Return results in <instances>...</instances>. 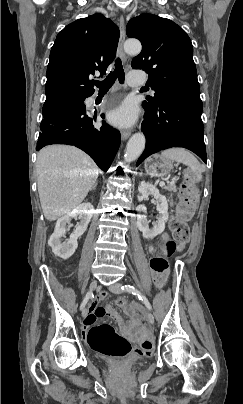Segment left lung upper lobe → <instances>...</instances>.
<instances>
[{
	"mask_svg": "<svg viewBox=\"0 0 243 404\" xmlns=\"http://www.w3.org/2000/svg\"><path fill=\"white\" fill-rule=\"evenodd\" d=\"M127 36L142 43V51L132 60V68L149 74L148 85L155 91L142 106L145 114L172 98L200 99L193 46L185 31L173 21L152 14L132 18Z\"/></svg>",
	"mask_w": 243,
	"mask_h": 404,
	"instance_id": "left-lung-upper-lobe-1",
	"label": "left lung upper lobe"
}]
</instances>
